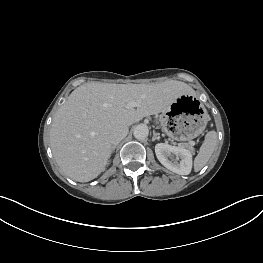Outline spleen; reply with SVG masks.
<instances>
[{
  "mask_svg": "<svg viewBox=\"0 0 263 263\" xmlns=\"http://www.w3.org/2000/svg\"><path fill=\"white\" fill-rule=\"evenodd\" d=\"M217 144V134L215 131H209L206 136L205 140L200 147V150L197 156L194 159V170L199 171L201 170L206 163L209 161L210 157L212 156L215 147Z\"/></svg>",
  "mask_w": 263,
  "mask_h": 263,
  "instance_id": "obj_1",
  "label": "spleen"
}]
</instances>
